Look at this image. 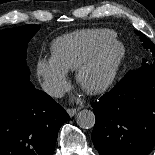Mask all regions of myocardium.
<instances>
[{"instance_id": "f54148a6", "label": "myocardium", "mask_w": 155, "mask_h": 155, "mask_svg": "<svg viewBox=\"0 0 155 155\" xmlns=\"http://www.w3.org/2000/svg\"><path fill=\"white\" fill-rule=\"evenodd\" d=\"M111 48H116V55L113 58L110 71L103 82L98 85L87 87L84 85L85 75L103 58L105 53ZM126 49L124 44L116 37L103 43L93 55H91L86 61H84L76 71V82L85 90L88 94L95 95L106 91L116 79L121 65L125 59Z\"/></svg>"}]
</instances>
